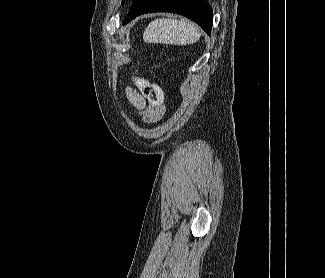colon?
I'll list each match as a JSON object with an SVG mask.
<instances>
[{
	"mask_svg": "<svg viewBox=\"0 0 325 278\" xmlns=\"http://www.w3.org/2000/svg\"><path fill=\"white\" fill-rule=\"evenodd\" d=\"M137 84L152 106L156 108H164L163 93L157 84L143 78H137Z\"/></svg>",
	"mask_w": 325,
	"mask_h": 278,
	"instance_id": "1",
	"label": "colon"
}]
</instances>
